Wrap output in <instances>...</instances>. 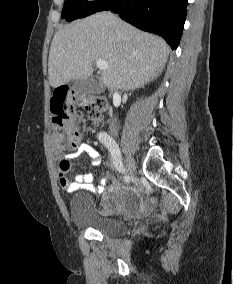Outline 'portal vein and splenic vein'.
Returning a JSON list of instances; mask_svg holds the SVG:
<instances>
[{
  "label": "portal vein and splenic vein",
  "instance_id": "18ae733b",
  "mask_svg": "<svg viewBox=\"0 0 233 284\" xmlns=\"http://www.w3.org/2000/svg\"><path fill=\"white\" fill-rule=\"evenodd\" d=\"M96 66L100 69V70H107L108 69V63L107 61L103 60V59H98L96 60Z\"/></svg>",
  "mask_w": 233,
  "mask_h": 284
}]
</instances>
